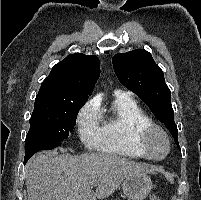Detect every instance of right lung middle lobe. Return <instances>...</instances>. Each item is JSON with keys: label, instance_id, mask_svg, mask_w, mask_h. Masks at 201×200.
<instances>
[{"label": "right lung middle lobe", "instance_id": "right-lung-middle-lobe-1", "mask_svg": "<svg viewBox=\"0 0 201 200\" xmlns=\"http://www.w3.org/2000/svg\"><path fill=\"white\" fill-rule=\"evenodd\" d=\"M86 101L87 99L66 100L37 95L25 141L43 139L60 142L66 139Z\"/></svg>", "mask_w": 201, "mask_h": 200}]
</instances>
